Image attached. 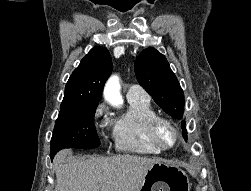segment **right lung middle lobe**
<instances>
[{
  "label": "right lung middle lobe",
  "mask_w": 251,
  "mask_h": 191,
  "mask_svg": "<svg viewBox=\"0 0 251 191\" xmlns=\"http://www.w3.org/2000/svg\"><path fill=\"white\" fill-rule=\"evenodd\" d=\"M98 104L60 109L51 139V159L63 148L92 149L100 145L94 125Z\"/></svg>",
  "instance_id": "obj_1"
}]
</instances>
